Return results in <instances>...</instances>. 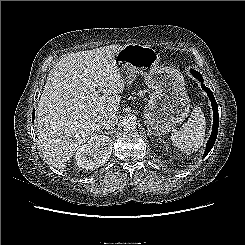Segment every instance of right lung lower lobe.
Returning a JSON list of instances; mask_svg holds the SVG:
<instances>
[{"mask_svg": "<svg viewBox=\"0 0 245 245\" xmlns=\"http://www.w3.org/2000/svg\"><path fill=\"white\" fill-rule=\"evenodd\" d=\"M34 116H35V111H33V114H32V119L34 120Z\"/></svg>", "mask_w": 245, "mask_h": 245, "instance_id": "98d812e1", "label": "right lung lower lobe"}]
</instances>
